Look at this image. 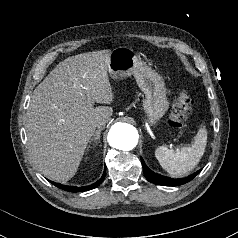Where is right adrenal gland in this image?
<instances>
[{
    "mask_svg": "<svg viewBox=\"0 0 238 238\" xmlns=\"http://www.w3.org/2000/svg\"><path fill=\"white\" fill-rule=\"evenodd\" d=\"M103 129H104V127H101V128L96 130V132L94 133L93 137L90 139L89 145H88L87 148H91L92 142H94L93 146L97 145L100 142V135H101V131Z\"/></svg>",
    "mask_w": 238,
    "mask_h": 238,
    "instance_id": "1",
    "label": "right adrenal gland"
}]
</instances>
